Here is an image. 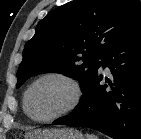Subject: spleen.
Instances as JSON below:
<instances>
[{
    "mask_svg": "<svg viewBox=\"0 0 141 139\" xmlns=\"http://www.w3.org/2000/svg\"><path fill=\"white\" fill-rule=\"evenodd\" d=\"M86 138H87V139H98L96 136H94V135H89V134H87Z\"/></svg>",
    "mask_w": 141,
    "mask_h": 139,
    "instance_id": "spleen-1",
    "label": "spleen"
}]
</instances>
